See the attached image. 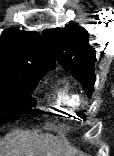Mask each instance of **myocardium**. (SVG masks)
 I'll return each instance as SVG.
<instances>
[{
  "instance_id": "myocardium-1",
  "label": "myocardium",
  "mask_w": 114,
  "mask_h": 156,
  "mask_svg": "<svg viewBox=\"0 0 114 156\" xmlns=\"http://www.w3.org/2000/svg\"><path fill=\"white\" fill-rule=\"evenodd\" d=\"M88 104H89V102L86 98H80L79 99V105L86 107V106H88Z\"/></svg>"
}]
</instances>
